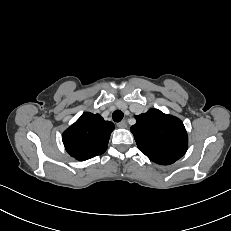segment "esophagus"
Returning a JSON list of instances; mask_svg holds the SVG:
<instances>
[{
	"label": "esophagus",
	"instance_id": "1",
	"mask_svg": "<svg viewBox=\"0 0 231 231\" xmlns=\"http://www.w3.org/2000/svg\"><path fill=\"white\" fill-rule=\"evenodd\" d=\"M126 126H127V124L125 121H121V122L117 123L118 128H125Z\"/></svg>",
	"mask_w": 231,
	"mask_h": 231
}]
</instances>
